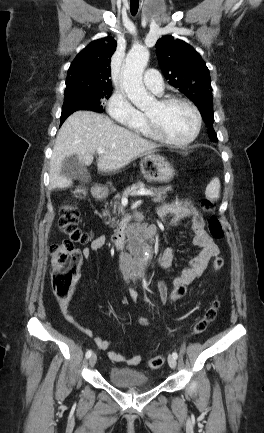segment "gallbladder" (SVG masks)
I'll return each mask as SVG.
<instances>
[{"instance_id": "gallbladder-1", "label": "gallbladder", "mask_w": 264, "mask_h": 433, "mask_svg": "<svg viewBox=\"0 0 264 433\" xmlns=\"http://www.w3.org/2000/svg\"><path fill=\"white\" fill-rule=\"evenodd\" d=\"M61 175L70 180L90 181V174L76 155L64 159L61 165Z\"/></svg>"}]
</instances>
